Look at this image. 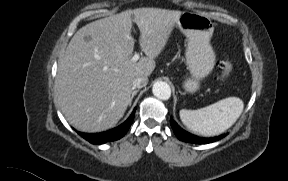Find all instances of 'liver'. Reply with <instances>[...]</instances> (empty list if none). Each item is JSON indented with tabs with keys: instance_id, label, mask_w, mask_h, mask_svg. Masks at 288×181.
Wrapping results in <instances>:
<instances>
[{
	"instance_id": "1",
	"label": "liver",
	"mask_w": 288,
	"mask_h": 181,
	"mask_svg": "<svg viewBox=\"0 0 288 181\" xmlns=\"http://www.w3.org/2000/svg\"><path fill=\"white\" fill-rule=\"evenodd\" d=\"M181 11L137 8L91 22L80 28L59 60L55 80L58 104L67 121L83 132L114 127L123 117L136 77H149L155 58L165 47ZM140 30L146 57L131 62Z\"/></svg>"
}]
</instances>
